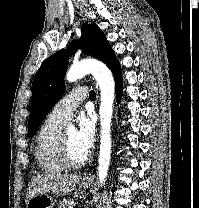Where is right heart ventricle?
Wrapping results in <instances>:
<instances>
[{
    "label": "right heart ventricle",
    "instance_id": "right-heart-ventricle-1",
    "mask_svg": "<svg viewBox=\"0 0 199 208\" xmlns=\"http://www.w3.org/2000/svg\"><path fill=\"white\" fill-rule=\"evenodd\" d=\"M63 125V122L48 117L37 134L34 156L38 166L46 173H57L66 168L58 154Z\"/></svg>",
    "mask_w": 199,
    "mask_h": 208
}]
</instances>
